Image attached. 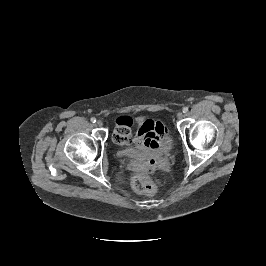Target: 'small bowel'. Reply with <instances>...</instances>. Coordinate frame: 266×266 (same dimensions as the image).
Listing matches in <instances>:
<instances>
[{"instance_id": "1", "label": "small bowel", "mask_w": 266, "mask_h": 266, "mask_svg": "<svg viewBox=\"0 0 266 266\" xmlns=\"http://www.w3.org/2000/svg\"><path fill=\"white\" fill-rule=\"evenodd\" d=\"M133 121L128 116H121L116 119L113 138L121 145L133 143L142 153L145 159V166L137 162L132 165L136 171L145 169L152 171L155 169L158 159L162 154V144L167 137L165 125L155 119H148L141 123L135 136L131 133Z\"/></svg>"}]
</instances>
